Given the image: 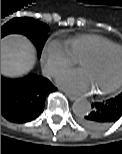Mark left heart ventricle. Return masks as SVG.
I'll return each mask as SVG.
<instances>
[{
    "label": "left heart ventricle",
    "mask_w": 122,
    "mask_h": 154,
    "mask_svg": "<svg viewBox=\"0 0 122 154\" xmlns=\"http://www.w3.org/2000/svg\"><path fill=\"white\" fill-rule=\"evenodd\" d=\"M79 67L92 91L105 89L122 75V51H111L98 60H82Z\"/></svg>",
    "instance_id": "left-heart-ventricle-1"
}]
</instances>
